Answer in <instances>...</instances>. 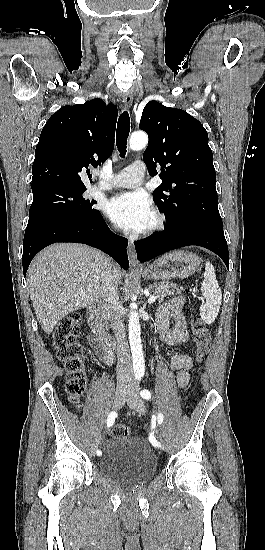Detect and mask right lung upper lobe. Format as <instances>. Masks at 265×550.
I'll return each instance as SVG.
<instances>
[{"instance_id": "1", "label": "right lung upper lobe", "mask_w": 265, "mask_h": 550, "mask_svg": "<svg viewBox=\"0 0 265 550\" xmlns=\"http://www.w3.org/2000/svg\"><path fill=\"white\" fill-rule=\"evenodd\" d=\"M117 107L99 99L64 106L42 129L32 166V184L86 189L85 169L97 167L114 148ZM90 171L87 170V174Z\"/></svg>"}]
</instances>
